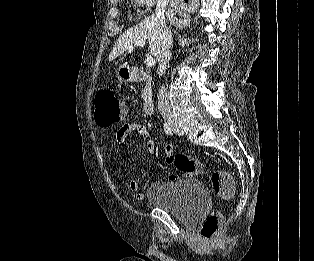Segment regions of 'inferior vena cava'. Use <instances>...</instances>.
Instances as JSON below:
<instances>
[{
  "label": "inferior vena cava",
  "instance_id": "inferior-vena-cava-1",
  "mask_svg": "<svg viewBox=\"0 0 314 261\" xmlns=\"http://www.w3.org/2000/svg\"><path fill=\"white\" fill-rule=\"evenodd\" d=\"M169 0H157L156 9H155V17L159 21L161 27L166 32V47L164 51L161 54L160 60H159V66H158V75L163 76L166 73L167 65L172 57V53L170 51V47L172 44V36L171 32L166 28V22H165V16L164 12L167 7ZM158 108L159 111L164 119H172L173 114L171 111L170 102L168 99V93L164 86H161V88L158 91Z\"/></svg>",
  "mask_w": 314,
  "mask_h": 261
}]
</instances>
